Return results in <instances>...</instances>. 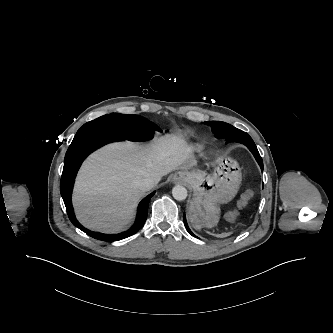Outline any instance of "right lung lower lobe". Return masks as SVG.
Listing matches in <instances>:
<instances>
[{"mask_svg": "<svg viewBox=\"0 0 333 333\" xmlns=\"http://www.w3.org/2000/svg\"><path fill=\"white\" fill-rule=\"evenodd\" d=\"M123 137L117 136L111 133H107L104 131L92 130L88 131L84 134L77 135L74 137L71 145L69 146L67 153L64 159V168L60 182V192L63 198L64 204L66 206V210L69 216V219L73 223L74 226L78 227L80 230L85 232L87 235L102 241H118L124 238H127L136 232L143 226L146 221L148 214V204L151 197L155 192L148 195L144 198L138 207L137 219L135 224L126 232L116 234V235H106L99 232L89 231L84 228L80 223L76 220L73 208L71 205V192L73 188L74 179L76 173L83 162V160L94 150L97 148L114 141H122Z\"/></svg>", "mask_w": 333, "mask_h": 333, "instance_id": "98d812e1", "label": "right lung lower lobe"}]
</instances>
